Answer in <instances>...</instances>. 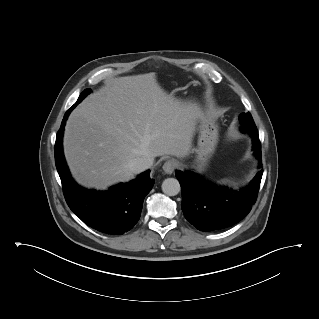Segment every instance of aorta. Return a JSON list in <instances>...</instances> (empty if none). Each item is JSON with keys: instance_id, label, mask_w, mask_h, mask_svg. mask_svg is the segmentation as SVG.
<instances>
[{"instance_id": "1", "label": "aorta", "mask_w": 319, "mask_h": 319, "mask_svg": "<svg viewBox=\"0 0 319 319\" xmlns=\"http://www.w3.org/2000/svg\"><path fill=\"white\" fill-rule=\"evenodd\" d=\"M181 190L180 183L175 178H167L162 183V191L168 196H175Z\"/></svg>"}]
</instances>
